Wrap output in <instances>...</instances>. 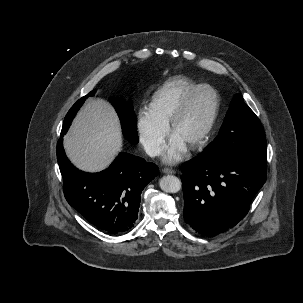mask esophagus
Segmentation results:
<instances>
[{
	"label": "esophagus",
	"instance_id": "esophagus-1",
	"mask_svg": "<svg viewBox=\"0 0 303 303\" xmlns=\"http://www.w3.org/2000/svg\"><path fill=\"white\" fill-rule=\"evenodd\" d=\"M163 172L166 173V174H174L175 170L171 169V168H164Z\"/></svg>",
	"mask_w": 303,
	"mask_h": 303
}]
</instances>
